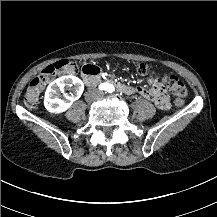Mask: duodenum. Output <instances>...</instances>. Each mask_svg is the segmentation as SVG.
<instances>
[{
  "instance_id": "duodenum-1",
  "label": "duodenum",
  "mask_w": 217,
  "mask_h": 217,
  "mask_svg": "<svg viewBox=\"0 0 217 217\" xmlns=\"http://www.w3.org/2000/svg\"><path fill=\"white\" fill-rule=\"evenodd\" d=\"M82 78L85 84L88 86H94L101 81L100 69L93 64L85 65L82 69ZM117 91L130 95L135 92V89L129 85L123 83H115Z\"/></svg>"
}]
</instances>
